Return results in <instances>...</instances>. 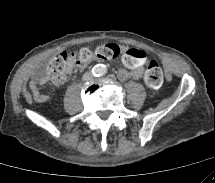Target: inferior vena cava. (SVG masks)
Segmentation results:
<instances>
[{
    "label": "inferior vena cava",
    "mask_w": 215,
    "mask_h": 183,
    "mask_svg": "<svg viewBox=\"0 0 215 183\" xmlns=\"http://www.w3.org/2000/svg\"><path fill=\"white\" fill-rule=\"evenodd\" d=\"M88 75V73L84 74L83 78L86 79Z\"/></svg>",
    "instance_id": "1"
}]
</instances>
